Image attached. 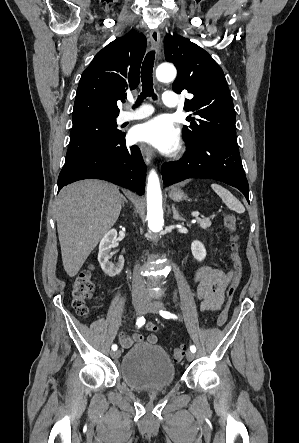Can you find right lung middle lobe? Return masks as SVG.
I'll use <instances>...</instances> for the list:
<instances>
[{"instance_id": "1", "label": "right lung middle lobe", "mask_w": 299, "mask_h": 443, "mask_svg": "<svg viewBox=\"0 0 299 443\" xmlns=\"http://www.w3.org/2000/svg\"><path fill=\"white\" fill-rule=\"evenodd\" d=\"M116 117H95L74 123L65 162L97 145L114 141L122 133L116 128Z\"/></svg>"}]
</instances>
